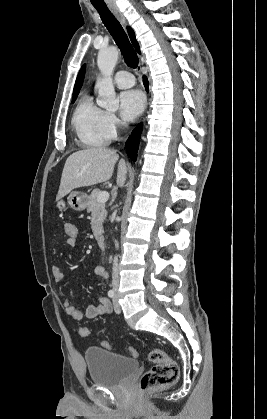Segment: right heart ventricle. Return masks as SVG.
<instances>
[{"label":"right heart ventricle","mask_w":267,"mask_h":419,"mask_svg":"<svg viewBox=\"0 0 267 419\" xmlns=\"http://www.w3.org/2000/svg\"><path fill=\"white\" fill-rule=\"evenodd\" d=\"M107 113L94 103L89 94L83 95L73 112L72 125L78 140L86 147H103L111 137L106 128Z\"/></svg>","instance_id":"obj_1"}]
</instances>
